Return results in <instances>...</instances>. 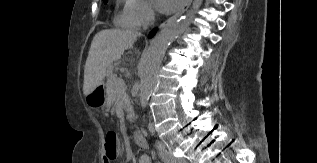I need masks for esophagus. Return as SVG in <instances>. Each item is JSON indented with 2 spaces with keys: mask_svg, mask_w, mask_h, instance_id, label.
<instances>
[{
  "mask_svg": "<svg viewBox=\"0 0 317 163\" xmlns=\"http://www.w3.org/2000/svg\"><path fill=\"white\" fill-rule=\"evenodd\" d=\"M192 0H185V3L183 6L170 18H168L166 21H164L160 26L159 29H162L172 23L174 20H176L178 17H180L190 6Z\"/></svg>",
  "mask_w": 317,
  "mask_h": 163,
  "instance_id": "esophagus-1",
  "label": "esophagus"
}]
</instances>
